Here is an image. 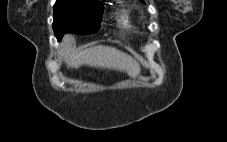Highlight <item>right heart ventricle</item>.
Returning a JSON list of instances; mask_svg holds the SVG:
<instances>
[{
    "instance_id": "obj_1",
    "label": "right heart ventricle",
    "mask_w": 227,
    "mask_h": 142,
    "mask_svg": "<svg viewBox=\"0 0 227 142\" xmlns=\"http://www.w3.org/2000/svg\"><path fill=\"white\" fill-rule=\"evenodd\" d=\"M120 24L125 28H133L134 21L127 11H122L119 19Z\"/></svg>"
}]
</instances>
